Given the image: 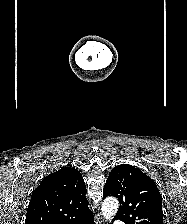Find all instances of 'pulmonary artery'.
Returning <instances> with one entry per match:
<instances>
[{"instance_id": "e3ab8cb5", "label": "pulmonary artery", "mask_w": 187, "mask_h": 224, "mask_svg": "<svg viewBox=\"0 0 187 224\" xmlns=\"http://www.w3.org/2000/svg\"><path fill=\"white\" fill-rule=\"evenodd\" d=\"M115 224H124V223L120 220H117V221H115Z\"/></svg>"}]
</instances>
